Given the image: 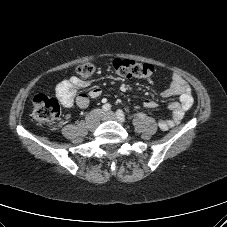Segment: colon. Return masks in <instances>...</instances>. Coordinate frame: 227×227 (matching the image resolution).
Here are the masks:
<instances>
[{
    "mask_svg": "<svg viewBox=\"0 0 227 227\" xmlns=\"http://www.w3.org/2000/svg\"><path fill=\"white\" fill-rule=\"evenodd\" d=\"M113 70L124 77L148 78L154 72V67L146 63H138L130 59H115ZM77 74L82 78H90L95 73V65L86 62L77 67ZM60 115V105L57 99L46 93L37 94L33 99L32 118L38 124L55 121Z\"/></svg>",
    "mask_w": 227,
    "mask_h": 227,
    "instance_id": "5ec220e1",
    "label": "colon"
}]
</instances>
